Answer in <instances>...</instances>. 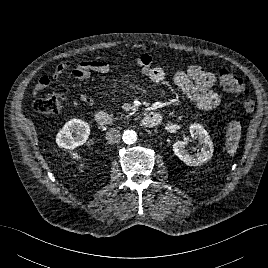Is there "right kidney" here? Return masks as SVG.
<instances>
[{
  "instance_id": "ca27d5eb",
  "label": "right kidney",
  "mask_w": 268,
  "mask_h": 268,
  "mask_svg": "<svg viewBox=\"0 0 268 268\" xmlns=\"http://www.w3.org/2000/svg\"><path fill=\"white\" fill-rule=\"evenodd\" d=\"M89 134V124L83 120L74 118L68 121L58 132L56 143L60 148L68 151L74 159H80V155L73 150L83 145L88 139Z\"/></svg>"
}]
</instances>
